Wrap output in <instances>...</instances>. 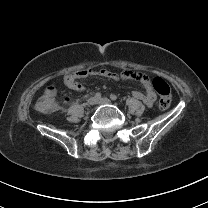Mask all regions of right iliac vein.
I'll return each instance as SVG.
<instances>
[{
  "mask_svg": "<svg viewBox=\"0 0 208 208\" xmlns=\"http://www.w3.org/2000/svg\"><path fill=\"white\" fill-rule=\"evenodd\" d=\"M96 104V98L95 97H90L88 100H87V105L89 106H93Z\"/></svg>",
  "mask_w": 208,
  "mask_h": 208,
  "instance_id": "63e3f726",
  "label": "right iliac vein"
}]
</instances>
